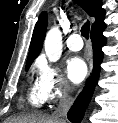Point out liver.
Masks as SVG:
<instances>
[{
  "label": "liver",
  "instance_id": "1",
  "mask_svg": "<svg viewBox=\"0 0 118 123\" xmlns=\"http://www.w3.org/2000/svg\"><path fill=\"white\" fill-rule=\"evenodd\" d=\"M4 123H65V122H60L53 116H47L40 113H33L7 118Z\"/></svg>",
  "mask_w": 118,
  "mask_h": 123
}]
</instances>
